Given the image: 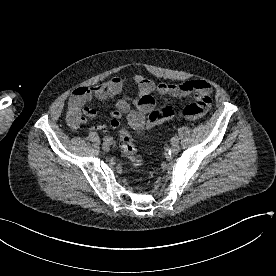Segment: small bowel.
<instances>
[{
  "mask_svg": "<svg viewBox=\"0 0 276 276\" xmlns=\"http://www.w3.org/2000/svg\"><path fill=\"white\" fill-rule=\"evenodd\" d=\"M133 80L138 88V94L135 98L126 93V80L123 77H113L91 87L76 88L68 101L70 126L77 128L86 121V118L97 116V110L87 105L92 99L105 101L120 96L116 101L115 109L110 112V126L112 128L120 126L123 115L131 112L132 105L136 107L137 113L146 116L148 126H151L148 124L150 114L156 115L154 125L174 118L178 112L170 106H159L153 97V92L173 97H185L195 94V101L183 107L179 112L188 119L201 117L211 106L212 86L205 80L191 79L179 84L164 82L155 84L140 74L135 75Z\"/></svg>",
  "mask_w": 276,
  "mask_h": 276,
  "instance_id": "1",
  "label": "small bowel"
}]
</instances>
